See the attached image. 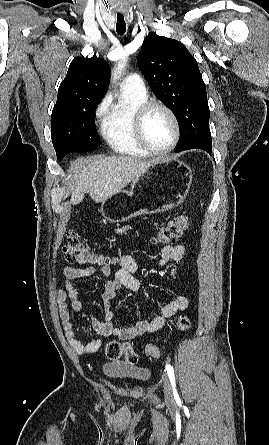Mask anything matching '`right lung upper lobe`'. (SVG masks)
I'll use <instances>...</instances> for the list:
<instances>
[{"label":"right lung upper lobe","mask_w":269,"mask_h":445,"mask_svg":"<svg viewBox=\"0 0 269 445\" xmlns=\"http://www.w3.org/2000/svg\"><path fill=\"white\" fill-rule=\"evenodd\" d=\"M110 67L96 56L74 59L58 89L57 103L75 100H100L109 86Z\"/></svg>","instance_id":"obj_1"}]
</instances>
